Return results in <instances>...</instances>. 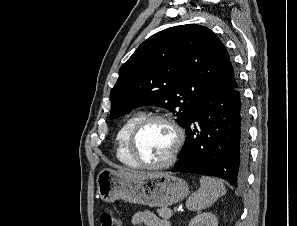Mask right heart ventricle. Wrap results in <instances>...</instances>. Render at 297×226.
<instances>
[{
  "instance_id": "right-heart-ventricle-1",
  "label": "right heart ventricle",
  "mask_w": 297,
  "mask_h": 226,
  "mask_svg": "<svg viewBox=\"0 0 297 226\" xmlns=\"http://www.w3.org/2000/svg\"><path fill=\"white\" fill-rule=\"evenodd\" d=\"M143 116L144 114L142 112H136L130 115L124 120L116 134V157L123 165L130 168H138V166L129 155L127 140L134 124Z\"/></svg>"
}]
</instances>
